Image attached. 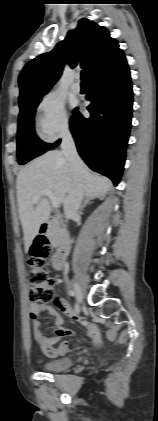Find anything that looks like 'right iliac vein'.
Instances as JSON below:
<instances>
[{
	"instance_id": "1",
	"label": "right iliac vein",
	"mask_w": 158,
	"mask_h": 421,
	"mask_svg": "<svg viewBox=\"0 0 158 421\" xmlns=\"http://www.w3.org/2000/svg\"><path fill=\"white\" fill-rule=\"evenodd\" d=\"M73 289L75 291L76 297L78 299V301L81 303L83 301V294H82V290L80 288V286L78 285L77 282H73Z\"/></svg>"
}]
</instances>
